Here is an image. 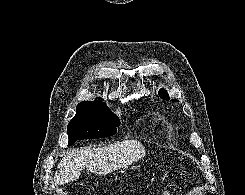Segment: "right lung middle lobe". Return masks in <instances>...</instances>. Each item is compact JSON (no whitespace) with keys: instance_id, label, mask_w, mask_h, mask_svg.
I'll list each match as a JSON object with an SVG mask.
<instances>
[{"instance_id":"right-lung-middle-lobe-1","label":"right lung middle lobe","mask_w":245,"mask_h":195,"mask_svg":"<svg viewBox=\"0 0 245 195\" xmlns=\"http://www.w3.org/2000/svg\"><path fill=\"white\" fill-rule=\"evenodd\" d=\"M120 124L119 118L105 103L83 101L78 104L77 113L68 124V145L77 140L112 136Z\"/></svg>"}]
</instances>
